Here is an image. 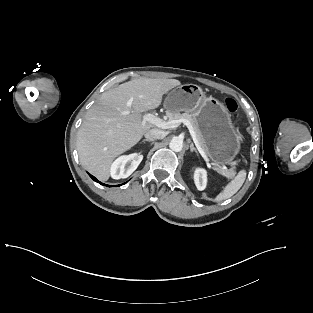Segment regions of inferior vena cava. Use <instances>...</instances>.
Returning <instances> with one entry per match:
<instances>
[{
    "instance_id": "obj_1",
    "label": "inferior vena cava",
    "mask_w": 313,
    "mask_h": 313,
    "mask_svg": "<svg viewBox=\"0 0 313 313\" xmlns=\"http://www.w3.org/2000/svg\"><path fill=\"white\" fill-rule=\"evenodd\" d=\"M166 134L167 133L165 131L154 128L145 134V138L153 141L156 139H163L166 136Z\"/></svg>"
}]
</instances>
